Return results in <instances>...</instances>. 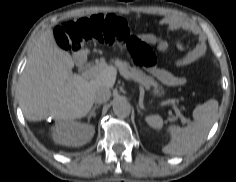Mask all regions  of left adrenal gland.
<instances>
[{
	"label": "left adrenal gland",
	"instance_id": "a2214340",
	"mask_svg": "<svg viewBox=\"0 0 236 182\" xmlns=\"http://www.w3.org/2000/svg\"><path fill=\"white\" fill-rule=\"evenodd\" d=\"M140 109H144V107H143V106H140ZM138 111L140 112L139 108H138Z\"/></svg>",
	"mask_w": 236,
	"mask_h": 182
}]
</instances>
